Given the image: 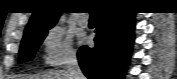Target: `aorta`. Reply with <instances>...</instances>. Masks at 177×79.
Segmentation results:
<instances>
[{"label":"aorta","mask_w":177,"mask_h":79,"mask_svg":"<svg viewBox=\"0 0 177 79\" xmlns=\"http://www.w3.org/2000/svg\"><path fill=\"white\" fill-rule=\"evenodd\" d=\"M64 23V19L63 18H61L60 20H59V25H62Z\"/></svg>","instance_id":"obj_1"}]
</instances>
